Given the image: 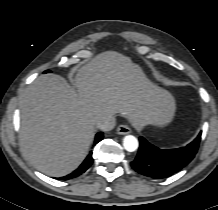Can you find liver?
<instances>
[{"label":"liver","mask_w":218,"mask_h":210,"mask_svg":"<svg viewBox=\"0 0 218 210\" xmlns=\"http://www.w3.org/2000/svg\"><path fill=\"white\" fill-rule=\"evenodd\" d=\"M75 91L58 75L37 78L20 101V139L31 163L60 177L86 157L95 127L121 114L136 128L165 126L175 115V100L154 85L142 69L116 52H105L77 71Z\"/></svg>","instance_id":"6515ba94"}]
</instances>
